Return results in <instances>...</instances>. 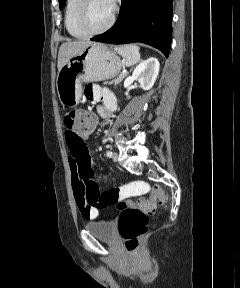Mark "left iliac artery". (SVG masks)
Masks as SVG:
<instances>
[{
    "label": "left iliac artery",
    "mask_w": 240,
    "mask_h": 288,
    "mask_svg": "<svg viewBox=\"0 0 240 288\" xmlns=\"http://www.w3.org/2000/svg\"><path fill=\"white\" fill-rule=\"evenodd\" d=\"M106 156L109 157V158H111V157H112V152L108 150V151L106 152Z\"/></svg>",
    "instance_id": "left-iliac-artery-1"
}]
</instances>
